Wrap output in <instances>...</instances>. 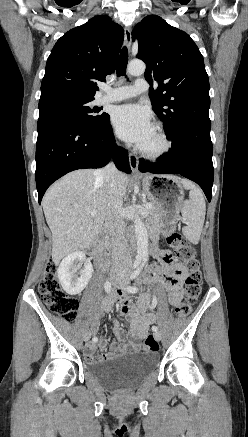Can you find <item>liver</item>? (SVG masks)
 Returning a JSON list of instances; mask_svg holds the SVG:
<instances>
[{"label": "liver", "instance_id": "1", "mask_svg": "<svg viewBox=\"0 0 248 437\" xmlns=\"http://www.w3.org/2000/svg\"><path fill=\"white\" fill-rule=\"evenodd\" d=\"M122 199L128 177L119 173ZM108 195L98 170L73 171L48 189L42 206L52 233V260H60L76 251L87 249L101 231L109 212ZM95 210V217L89 212Z\"/></svg>", "mask_w": 248, "mask_h": 437}]
</instances>
